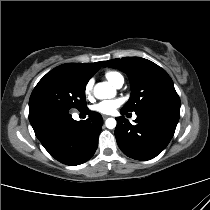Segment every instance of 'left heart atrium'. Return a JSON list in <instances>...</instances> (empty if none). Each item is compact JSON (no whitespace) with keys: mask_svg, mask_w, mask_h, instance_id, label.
Masks as SVG:
<instances>
[{"mask_svg":"<svg viewBox=\"0 0 210 210\" xmlns=\"http://www.w3.org/2000/svg\"><path fill=\"white\" fill-rule=\"evenodd\" d=\"M121 105L119 99L103 100L91 106V110L100 114L110 115Z\"/></svg>","mask_w":210,"mask_h":210,"instance_id":"left-heart-atrium-1","label":"left heart atrium"}]
</instances>
